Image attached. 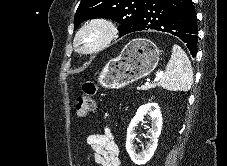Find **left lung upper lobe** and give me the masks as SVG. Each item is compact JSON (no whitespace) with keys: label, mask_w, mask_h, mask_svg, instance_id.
I'll return each mask as SVG.
<instances>
[{"label":"left lung upper lobe","mask_w":227,"mask_h":166,"mask_svg":"<svg viewBox=\"0 0 227 166\" xmlns=\"http://www.w3.org/2000/svg\"><path fill=\"white\" fill-rule=\"evenodd\" d=\"M147 0H81L74 18V29L92 18H109L121 25L119 36L134 32Z\"/></svg>","instance_id":"left-lung-upper-lobe-1"}]
</instances>
